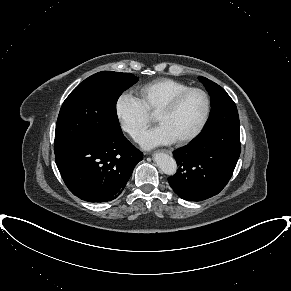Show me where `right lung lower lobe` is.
<instances>
[{
    "mask_svg": "<svg viewBox=\"0 0 291 291\" xmlns=\"http://www.w3.org/2000/svg\"><path fill=\"white\" fill-rule=\"evenodd\" d=\"M142 159L143 153L123 133L108 138L82 139L55 154L68 189L89 202L116 199Z\"/></svg>",
    "mask_w": 291,
    "mask_h": 291,
    "instance_id": "obj_1",
    "label": "right lung lower lobe"
}]
</instances>
